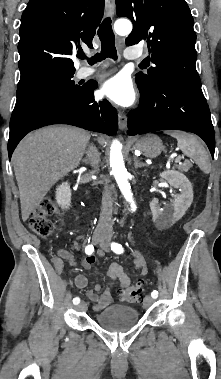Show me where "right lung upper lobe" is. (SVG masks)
I'll return each mask as SVG.
<instances>
[{
    "instance_id": "obj_1",
    "label": "right lung upper lobe",
    "mask_w": 221,
    "mask_h": 379,
    "mask_svg": "<svg viewBox=\"0 0 221 379\" xmlns=\"http://www.w3.org/2000/svg\"><path fill=\"white\" fill-rule=\"evenodd\" d=\"M103 11L104 0H30L20 25V81L75 70L71 56L80 42L92 47Z\"/></svg>"
}]
</instances>
